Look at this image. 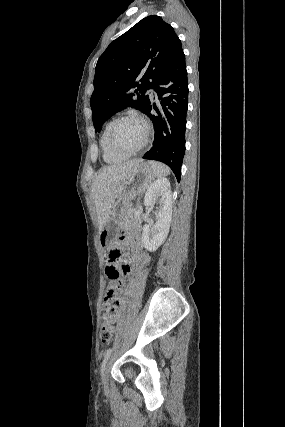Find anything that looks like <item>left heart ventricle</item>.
<instances>
[{
	"mask_svg": "<svg viewBox=\"0 0 285 427\" xmlns=\"http://www.w3.org/2000/svg\"><path fill=\"white\" fill-rule=\"evenodd\" d=\"M144 126L132 119L123 120L117 124L113 132V140L124 150L137 148L144 139Z\"/></svg>",
	"mask_w": 285,
	"mask_h": 427,
	"instance_id": "b2bd125f",
	"label": "left heart ventricle"
}]
</instances>
